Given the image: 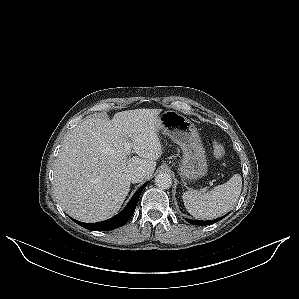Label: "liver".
Here are the masks:
<instances>
[{
  "instance_id": "obj_1",
  "label": "liver",
  "mask_w": 299,
  "mask_h": 299,
  "mask_svg": "<svg viewBox=\"0 0 299 299\" xmlns=\"http://www.w3.org/2000/svg\"><path fill=\"white\" fill-rule=\"evenodd\" d=\"M161 109L118 112L112 120L90 117L70 130L55 162L53 190L63 210L83 222L114 216L129 191L130 172L154 173L162 155ZM137 155L129 158L126 146Z\"/></svg>"
}]
</instances>
